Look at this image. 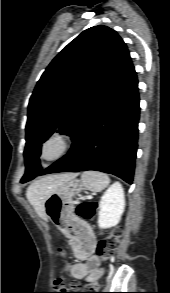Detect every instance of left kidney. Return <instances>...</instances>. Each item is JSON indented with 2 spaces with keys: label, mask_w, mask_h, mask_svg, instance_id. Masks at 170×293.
<instances>
[{
  "label": "left kidney",
  "mask_w": 170,
  "mask_h": 293,
  "mask_svg": "<svg viewBox=\"0 0 170 293\" xmlns=\"http://www.w3.org/2000/svg\"><path fill=\"white\" fill-rule=\"evenodd\" d=\"M125 208V195L119 182L112 184L99 202L98 226L102 229L116 226Z\"/></svg>",
  "instance_id": "5707ae66"
}]
</instances>
